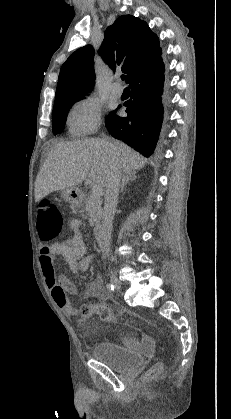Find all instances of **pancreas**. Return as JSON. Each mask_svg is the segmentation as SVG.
<instances>
[{"mask_svg":"<svg viewBox=\"0 0 231 419\" xmlns=\"http://www.w3.org/2000/svg\"><path fill=\"white\" fill-rule=\"evenodd\" d=\"M101 205H102V200L92 195H88L83 201L82 206L84 207L85 211L88 213L90 217L89 223L91 226L98 224L101 219V216H102Z\"/></svg>","mask_w":231,"mask_h":419,"instance_id":"obj_1","label":"pancreas"}]
</instances>
